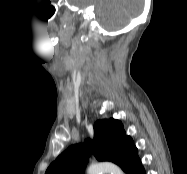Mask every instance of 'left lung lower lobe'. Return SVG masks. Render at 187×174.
I'll return each mask as SVG.
<instances>
[{"mask_svg": "<svg viewBox=\"0 0 187 174\" xmlns=\"http://www.w3.org/2000/svg\"><path fill=\"white\" fill-rule=\"evenodd\" d=\"M129 174H145V170L140 163L136 165Z\"/></svg>", "mask_w": 187, "mask_h": 174, "instance_id": "left-lung-lower-lobe-1", "label": "left lung lower lobe"}]
</instances>
